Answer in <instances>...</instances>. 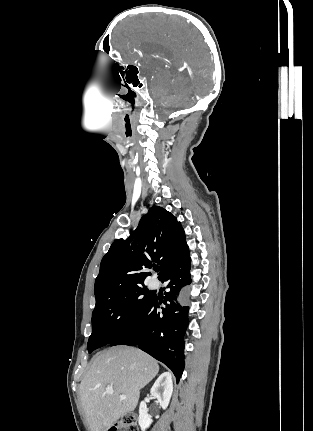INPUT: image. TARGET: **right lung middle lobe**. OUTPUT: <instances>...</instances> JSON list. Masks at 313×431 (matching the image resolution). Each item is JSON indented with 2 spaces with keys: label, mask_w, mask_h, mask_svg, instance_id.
<instances>
[{
  "label": "right lung middle lobe",
  "mask_w": 313,
  "mask_h": 431,
  "mask_svg": "<svg viewBox=\"0 0 313 431\" xmlns=\"http://www.w3.org/2000/svg\"><path fill=\"white\" fill-rule=\"evenodd\" d=\"M153 298L146 286H137L96 302L88 340L89 353L123 334Z\"/></svg>",
  "instance_id": "1"
}]
</instances>
